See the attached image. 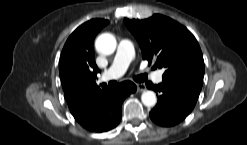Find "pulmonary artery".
I'll return each mask as SVG.
<instances>
[{
	"label": "pulmonary artery",
	"instance_id": "obj_1",
	"mask_svg": "<svg viewBox=\"0 0 247 145\" xmlns=\"http://www.w3.org/2000/svg\"><path fill=\"white\" fill-rule=\"evenodd\" d=\"M134 55L133 43L126 39L121 40L115 58L108 70L102 75L101 80L109 81L121 77L134 59ZM162 74V71L155 72L154 80L161 82Z\"/></svg>",
	"mask_w": 247,
	"mask_h": 145
}]
</instances>
